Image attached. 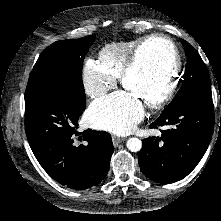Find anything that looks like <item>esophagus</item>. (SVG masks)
<instances>
[{
  "label": "esophagus",
  "mask_w": 221,
  "mask_h": 221,
  "mask_svg": "<svg viewBox=\"0 0 221 221\" xmlns=\"http://www.w3.org/2000/svg\"><path fill=\"white\" fill-rule=\"evenodd\" d=\"M112 141H113V145L117 147L121 142L124 141V139L114 135L112 136Z\"/></svg>",
  "instance_id": "1"
}]
</instances>
